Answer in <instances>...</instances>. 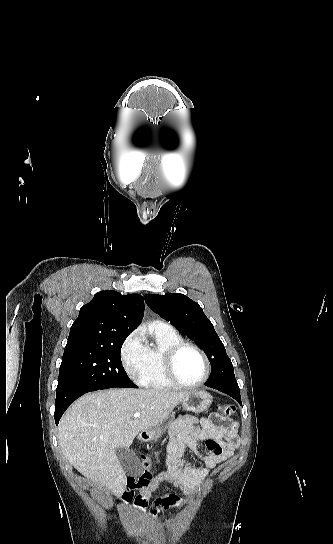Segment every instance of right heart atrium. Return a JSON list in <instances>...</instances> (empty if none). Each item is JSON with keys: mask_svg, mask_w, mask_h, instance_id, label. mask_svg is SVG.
Segmentation results:
<instances>
[{"mask_svg": "<svg viewBox=\"0 0 333 544\" xmlns=\"http://www.w3.org/2000/svg\"><path fill=\"white\" fill-rule=\"evenodd\" d=\"M120 361L126 374L133 380H138L143 356V343L138 331L131 332L123 341L120 348Z\"/></svg>", "mask_w": 333, "mask_h": 544, "instance_id": "d8ad5b80", "label": "right heart atrium"}]
</instances>
